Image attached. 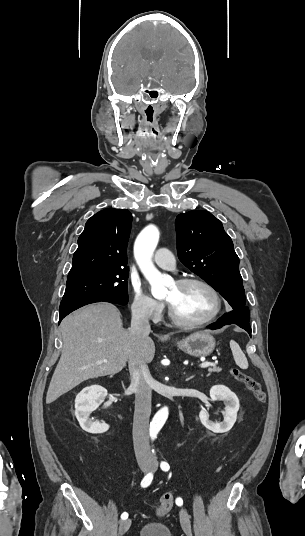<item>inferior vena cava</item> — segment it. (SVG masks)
I'll list each match as a JSON object with an SVG mask.
<instances>
[{
	"mask_svg": "<svg viewBox=\"0 0 305 536\" xmlns=\"http://www.w3.org/2000/svg\"><path fill=\"white\" fill-rule=\"evenodd\" d=\"M151 332L149 324V310L138 306L132 310L130 334L136 340L148 338ZM129 372L131 376L130 390L135 392V412L133 420V444L137 460H151L149 446V418L151 414V388L148 384L151 374L147 364H137L133 358H129Z\"/></svg>",
	"mask_w": 305,
	"mask_h": 536,
	"instance_id": "obj_1",
	"label": "inferior vena cava"
}]
</instances>
